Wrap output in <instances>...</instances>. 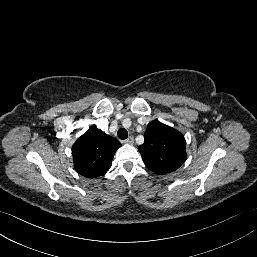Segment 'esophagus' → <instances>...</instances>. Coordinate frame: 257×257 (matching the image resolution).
<instances>
[{
    "mask_svg": "<svg viewBox=\"0 0 257 257\" xmlns=\"http://www.w3.org/2000/svg\"><path fill=\"white\" fill-rule=\"evenodd\" d=\"M126 144H134V138L133 136H130L128 139L124 141Z\"/></svg>",
    "mask_w": 257,
    "mask_h": 257,
    "instance_id": "1",
    "label": "esophagus"
}]
</instances>
